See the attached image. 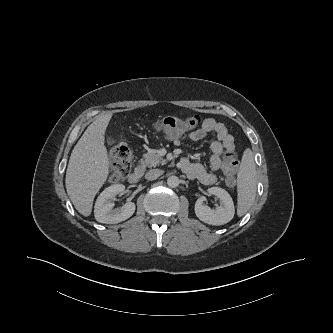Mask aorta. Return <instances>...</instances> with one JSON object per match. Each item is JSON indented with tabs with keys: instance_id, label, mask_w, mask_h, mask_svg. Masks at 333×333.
Instances as JSON below:
<instances>
[{
	"instance_id": "obj_1",
	"label": "aorta",
	"mask_w": 333,
	"mask_h": 333,
	"mask_svg": "<svg viewBox=\"0 0 333 333\" xmlns=\"http://www.w3.org/2000/svg\"><path fill=\"white\" fill-rule=\"evenodd\" d=\"M167 184L171 188H176V187L179 186L180 180H179V178L177 176H170L167 179Z\"/></svg>"
}]
</instances>
